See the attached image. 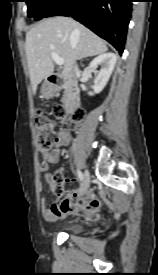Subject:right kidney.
<instances>
[{"instance_id": "ca27d5eb", "label": "right kidney", "mask_w": 158, "mask_h": 275, "mask_svg": "<svg viewBox=\"0 0 158 275\" xmlns=\"http://www.w3.org/2000/svg\"><path fill=\"white\" fill-rule=\"evenodd\" d=\"M117 57L114 53H104L94 58L89 64V72L95 73L93 92L89 95L100 93L106 86L116 64ZM102 66L101 70L96 71L98 66Z\"/></svg>"}]
</instances>
